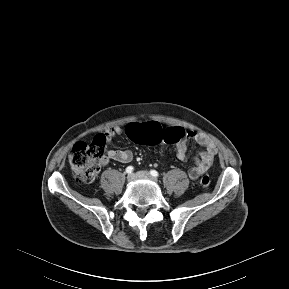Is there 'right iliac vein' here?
I'll use <instances>...</instances> for the list:
<instances>
[{
	"label": "right iliac vein",
	"instance_id": "obj_1",
	"mask_svg": "<svg viewBox=\"0 0 289 289\" xmlns=\"http://www.w3.org/2000/svg\"><path fill=\"white\" fill-rule=\"evenodd\" d=\"M135 179H136V175L135 174H129L128 176H127V181L128 182H133V181H135Z\"/></svg>",
	"mask_w": 289,
	"mask_h": 289
}]
</instances>
